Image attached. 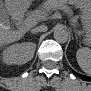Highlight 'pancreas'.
Wrapping results in <instances>:
<instances>
[{"instance_id":"obj_1","label":"pancreas","mask_w":91,"mask_h":91,"mask_svg":"<svg viewBox=\"0 0 91 91\" xmlns=\"http://www.w3.org/2000/svg\"><path fill=\"white\" fill-rule=\"evenodd\" d=\"M55 9H64L68 11V7L61 1H46L42 4L40 9L35 11L33 14L36 18H40L42 16L48 15L51 10Z\"/></svg>"}]
</instances>
